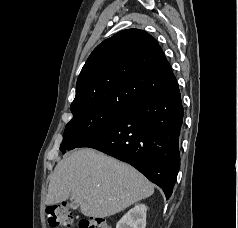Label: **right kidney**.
Returning <instances> with one entry per match:
<instances>
[{"label": "right kidney", "instance_id": "1", "mask_svg": "<svg viewBox=\"0 0 238 228\" xmlns=\"http://www.w3.org/2000/svg\"><path fill=\"white\" fill-rule=\"evenodd\" d=\"M145 204H138L130 209L118 222L116 228H146Z\"/></svg>", "mask_w": 238, "mask_h": 228}]
</instances>
